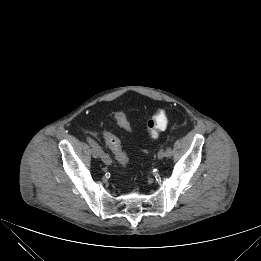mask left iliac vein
Segmentation results:
<instances>
[{
    "label": "left iliac vein",
    "instance_id": "1",
    "mask_svg": "<svg viewBox=\"0 0 261 261\" xmlns=\"http://www.w3.org/2000/svg\"><path fill=\"white\" fill-rule=\"evenodd\" d=\"M165 157V150L164 149H161L159 152H158V159H163Z\"/></svg>",
    "mask_w": 261,
    "mask_h": 261
}]
</instances>
